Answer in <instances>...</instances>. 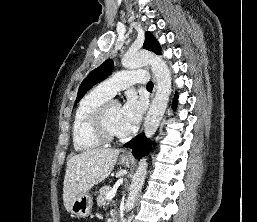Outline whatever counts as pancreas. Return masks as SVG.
<instances>
[{"label":"pancreas","instance_id":"pancreas-1","mask_svg":"<svg viewBox=\"0 0 257 222\" xmlns=\"http://www.w3.org/2000/svg\"><path fill=\"white\" fill-rule=\"evenodd\" d=\"M111 191L109 186H104L99 190V195L97 197V205L104 206L106 204V196Z\"/></svg>","mask_w":257,"mask_h":222}]
</instances>
